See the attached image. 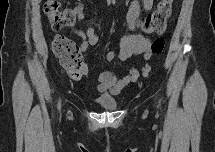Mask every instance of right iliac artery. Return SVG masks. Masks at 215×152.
Here are the masks:
<instances>
[{
    "label": "right iliac artery",
    "instance_id": "right-iliac-artery-1",
    "mask_svg": "<svg viewBox=\"0 0 215 152\" xmlns=\"http://www.w3.org/2000/svg\"><path fill=\"white\" fill-rule=\"evenodd\" d=\"M60 108H61V101L59 100V102H58V109L60 110Z\"/></svg>",
    "mask_w": 215,
    "mask_h": 152
}]
</instances>
